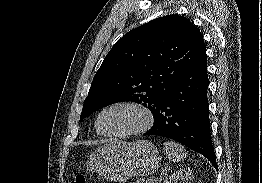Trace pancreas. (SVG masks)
I'll list each match as a JSON object with an SVG mask.
<instances>
[{
	"label": "pancreas",
	"mask_w": 262,
	"mask_h": 183,
	"mask_svg": "<svg viewBox=\"0 0 262 183\" xmlns=\"http://www.w3.org/2000/svg\"><path fill=\"white\" fill-rule=\"evenodd\" d=\"M140 183H159L158 181H154L153 179L143 180Z\"/></svg>",
	"instance_id": "obj_1"
}]
</instances>
